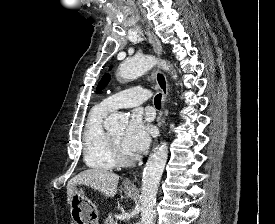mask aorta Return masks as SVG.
Returning <instances> with one entry per match:
<instances>
[{"instance_id": "obj_1", "label": "aorta", "mask_w": 275, "mask_h": 224, "mask_svg": "<svg viewBox=\"0 0 275 224\" xmlns=\"http://www.w3.org/2000/svg\"><path fill=\"white\" fill-rule=\"evenodd\" d=\"M156 64H160L166 70L169 65L152 55L137 56L123 61L118 74L122 79L133 80L150 70ZM176 77V76H175ZM128 123V117L123 113H113L105 121V128H124ZM168 147L164 142L158 145L150 155L142 176L141 187V221L139 224H153L154 207L159 183L167 162Z\"/></svg>"}]
</instances>
